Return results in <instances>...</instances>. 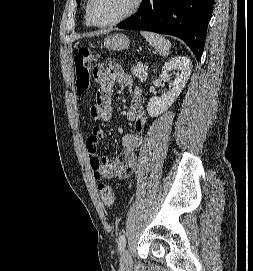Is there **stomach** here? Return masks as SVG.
<instances>
[{"instance_id":"stomach-1","label":"stomach","mask_w":253,"mask_h":271,"mask_svg":"<svg viewBox=\"0 0 253 271\" xmlns=\"http://www.w3.org/2000/svg\"><path fill=\"white\" fill-rule=\"evenodd\" d=\"M129 45H130V40L124 34L116 33V34L107 36L104 39V47H106L109 50L122 51V50L128 49Z\"/></svg>"}]
</instances>
